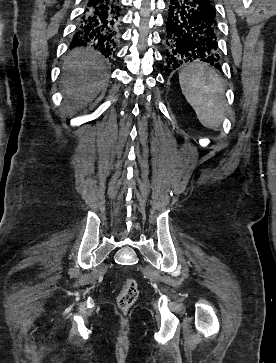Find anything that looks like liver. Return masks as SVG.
Returning a JSON list of instances; mask_svg holds the SVG:
<instances>
[{
  "label": "liver",
  "instance_id": "6515ba94",
  "mask_svg": "<svg viewBox=\"0 0 276 363\" xmlns=\"http://www.w3.org/2000/svg\"><path fill=\"white\" fill-rule=\"evenodd\" d=\"M62 68L67 72L63 92L76 101L73 107L68 108L69 113L92 101L104 87L102 78L106 67L93 50H73L65 59Z\"/></svg>",
  "mask_w": 276,
  "mask_h": 363
}]
</instances>
